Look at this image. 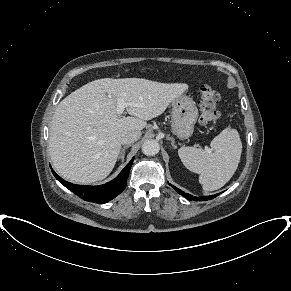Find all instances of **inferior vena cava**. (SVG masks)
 <instances>
[{
    "label": "inferior vena cava",
    "mask_w": 291,
    "mask_h": 291,
    "mask_svg": "<svg viewBox=\"0 0 291 291\" xmlns=\"http://www.w3.org/2000/svg\"><path fill=\"white\" fill-rule=\"evenodd\" d=\"M141 136V131H126L121 135L122 144H132Z\"/></svg>",
    "instance_id": "1"
}]
</instances>
